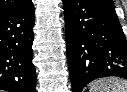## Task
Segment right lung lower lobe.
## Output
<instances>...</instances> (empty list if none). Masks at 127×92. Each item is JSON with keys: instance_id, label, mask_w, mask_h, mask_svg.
<instances>
[{"instance_id": "obj_1", "label": "right lung lower lobe", "mask_w": 127, "mask_h": 92, "mask_svg": "<svg viewBox=\"0 0 127 92\" xmlns=\"http://www.w3.org/2000/svg\"><path fill=\"white\" fill-rule=\"evenodd\" d=\"M34 6L0 13V89L35 92L36 72L31 63Z\"/></svg>"}]
</instances>
